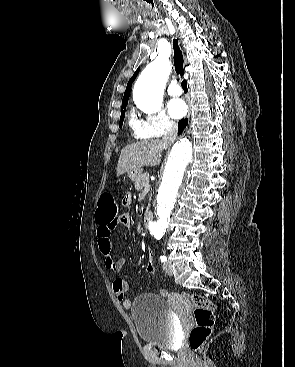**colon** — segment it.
Instances as JSON below:
<instances>
[{
  "mask_svg": "<svg viewBox=\"0 0 295 367\" xmlns=\"http://www.w3.org/2000/svg\"><path fill=\"white\" fill-rule=\"evenodd\" d=\"M118 205L114 198L105 193L101 196L97 211L99 222H109L117 218ZM156 265L153 263L152 255L149 254L147 270L154 273ZM189 298L194 307L196 324L189 334V344L192 350L201 351L206 340L212 333L215 321V305L207 297L201 294H190Z\"/></svg>",
  "mask_w": 295,
  "mask_h": 367,
  "instance_id": "1",
  "label": "colon"
}]
</instances>
